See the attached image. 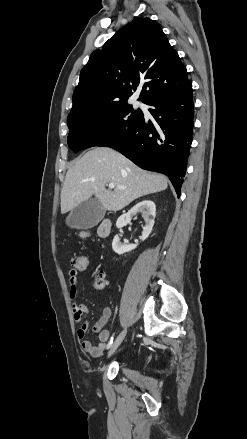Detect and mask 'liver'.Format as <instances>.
Masks as SVG:
<instances>
[{"label":"liver","instance_id":"liver-1","mask_svg":"<svg viewBox=\"0 0 247 439\" xmlns=\"http://www.w3.org/2000/svg\"><path fill=\"white\" fill-rule=\"evenodd\" d=\"M109 183L115 184L112 191L105 187ZM167 186L165 176L139 168L119 152L107 147L94 148L69 167L61 190V213L73 210L93 195L105 210L115 212Z\"/></svg>","mask_w":247,"mask_h":439}]
</instances>
